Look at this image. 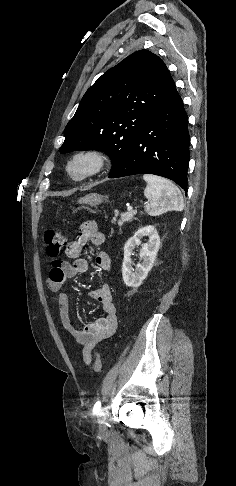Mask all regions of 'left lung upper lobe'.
<instances>
[{
	"mask_svg": "<svg viewBox=\"0 0 236 486\" xmlns=\"http://www.w3.org/2000/svg\"><path fill=\"white\" fill-rule=\"evenodd\" d=\"M175 89L169 70L157 55L148 50L131 54L84 94L65 127L59 152L103 150L112 160V172Z\"/></svg>",
	"mask_w": 236,
	"mask_h": 486,
	"instance_id": "obj_1",
	"label": "left lung upper lobe"
}]
</instances>
